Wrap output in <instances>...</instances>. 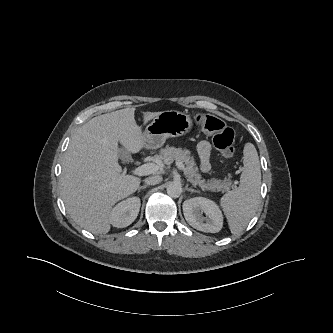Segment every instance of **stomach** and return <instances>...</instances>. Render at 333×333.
<instances>
[{
    "label": "stomach",
    "instance_id": "obj_1",
    "mask_svg": "<svg viewBox=\"0 0 333 333\" xmlns=\"http://www.w3.org/2000/svg\"><path fill=\"white\" fill-rule=\"evenodd\" d=\"M192 126V119L183 112L176 110L160 112L143 132L145 148L157 149L167 138L187 134Z\"/></svg>",
    "mask_w": 333,
    "mask_h": 333
}]
</instances>
